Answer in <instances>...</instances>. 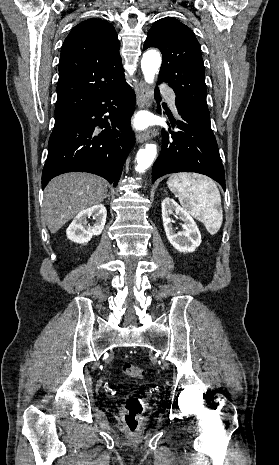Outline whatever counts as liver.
<instances>
[{"label": "liver", "instance_id": "1", "mask_svg": "<svg viewBox=\"0 0 279 465\" xmlns=\"http://www.w3.org/2000/svg\"><path fill=\"white\" fill-rule=\"evenodd\" d=\"M106 181L93 174L74 172L53 178L44 191L43 214L51 233L82 210L101 203L107 196Z\"/></svg>", "mask_w": 279, "mask_h": 465}]
</instances>
